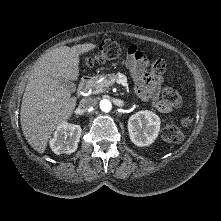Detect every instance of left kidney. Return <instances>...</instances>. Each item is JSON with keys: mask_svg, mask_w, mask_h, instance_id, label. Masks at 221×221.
<instances>
[{"mask_svg": "<svg viewBox=\"0 0 221 221\" xmlns=\"http://www.w3.org/2000/svg\"><path fill=\"white\" fill-rule=\"evenodd\" d=\"M128 131L130 139L135 145L149 146L160 131V118L151 111H139L129 118Z\"/></svg>", "mask_w": 221, "mask_h": 221, "instance_id": "left-kidney-1", "label": "left kidney"}]
</instances>
